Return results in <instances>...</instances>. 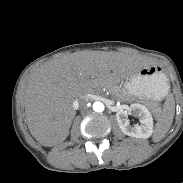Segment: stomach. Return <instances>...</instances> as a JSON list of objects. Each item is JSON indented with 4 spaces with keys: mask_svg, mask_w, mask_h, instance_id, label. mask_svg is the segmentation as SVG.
I'll return each instance as SVG.
<instances>
[{
    "mask_svg": "<svg viewBox=\"0 0 183 183\" xmlns=\"http://www.w3.org/2000/svg\"><path fill=\"white\" fill-rule=\"evenodd\" d=\"M168 80L161 69L147 66L124 79L123 88L136 97L159 101L168 92Z\"/></svg>",
    "mask_w": 183,
    "mask_h": 183,
    "instance_id": "obj_1",
    "label": "stomach"
}]
</instances>
